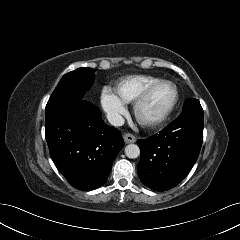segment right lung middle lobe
Listing matches in <instances>:
<instances>
[{
    "mask_svg": "<svg viewBox=\"0 0 240 240\" xmlns=\"http://www.w3.org/2000/svg\"><path fill=\"white\" fill-rule=\"evenodd\" d=\"M95 70L91 68H78L63 76L53 91L46 107L78 99H83L84 94L93 85Z\"/></svg>",
    "mask_w": 240,
    "mask_h": 240,
    "instance_id": "1",
    "label": "right lung middle lobe"
}]
</instances>
